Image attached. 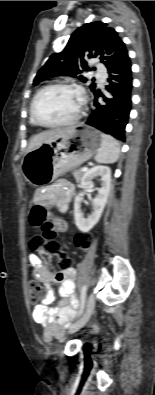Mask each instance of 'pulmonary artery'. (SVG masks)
Wrapping results in <instances>:
<instances>
[{
	"label": "pulmonary artery",
	"mask_w": 155,
	"mask_h": 395,
	"mask_svg": "<svg viewBox=\"0 0 155 395\" xmlns=\"http://www.w3.org/2000/svg\"><path fill=\"white\" fill-rule=\"evenodd\" d=\"M97 77L101 83H103L106 79V72L101 66L97 67Z\"/></svg>",
	"instance_id": "1"
}]
</instances>
